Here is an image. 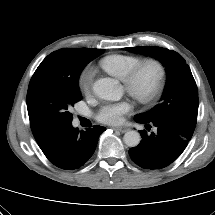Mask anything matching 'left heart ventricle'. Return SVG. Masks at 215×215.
Wrapping results in <instances>:
<instances>
[{
    "instance_id": "left-heart-ventricle-1",
    "label": "left heart ventricle",
    "mask_w": 215,
    "mask_h": 215,
    "mask_svg": "<svg viewBox=\"0 0 215 215\" xmlns=\"http://www.w3.org/2000/svg\"><path fill=\"white\" fill-rule=\"evenodd\" d=\"M154 75V69L151 67H148L143 70L138 81L139 88L142 91H147L148 89H150L154 80Z\"/></svg>"
}]
</instances>
